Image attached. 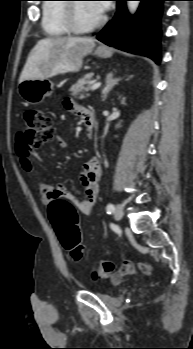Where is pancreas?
I'll return each instance as SVG.
<instances>
[{"label":"pancreas","instance_id":"pancreas-1","mask_svg":"<svg viewBox=\"0 0 193 349\" xmlns=\"http://www.w3.org/2000/svg\"><path fill=\"white\" fill-rule=\"evenodd\" d=\"M93 73H88L82 78H80L72 87L70 88V92L72 96L79 97V98H85V93H87L91 86L93 85L92 82Z\"/></svg>","mask_w":193,"mask_h":349}]
</instances>
